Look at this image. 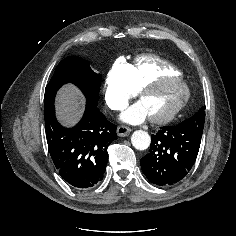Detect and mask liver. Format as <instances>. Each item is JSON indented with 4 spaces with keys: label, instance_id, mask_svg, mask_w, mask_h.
<instances>
[{
    "label": "liver",
    "instance_id": "obj_1",
    "mask_svg": "<svg viewBox=\"0 0 236 236\" xmlns=\"http://www.w3.org/2000/svg\"><path fill=\"white\" fill-rule=\"evenodd\" d=\"M57 117L64 125H74L83 109L82 96L73 86L64 87L57 97Z\"/></svg>",
    "mask_w": 236,
    "mask_h": 236
}]
</instances>
